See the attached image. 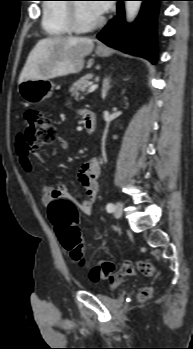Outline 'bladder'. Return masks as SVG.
Returning a JSON list of instances; mask_svg holds the SVG:
<instances>
[{
	"label": "bladder",
	"instance_id": "31cf9c89",
	"mask_svg": "<svg viewBox=\"0 0 193 349\" xmlns=\"http://www.w3.org/2000/svg\"><path fill=\"white\" fill-rule=\"evenodd\" d=\"M98 298L101 299V300L108 299L109 298V294H107V293L98 294Z\"/></svg>",
	"mask_w": 193,
	"mask_h": 349
}]
</instances>
